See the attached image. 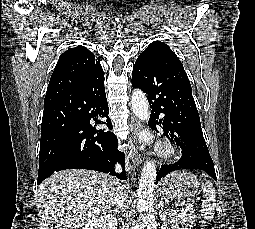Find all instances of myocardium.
Listing matches in <instances>:
<instances>
[{"instance_id":"f54148a6","label":"myocardium","mask_w":255,"mask_h":229,"mask_svg":"<svg viewBox=\"0 0 255 229\" xmlns=\"http://www.w3.org/2000/svg\"><path fill=\"white\" fill-rule=\"evenodd\" d=\"M158 153L169 157L175 154V149L168 143H162L158 148Z\"/></svg>"}]
</instances>
